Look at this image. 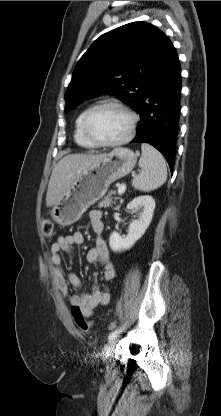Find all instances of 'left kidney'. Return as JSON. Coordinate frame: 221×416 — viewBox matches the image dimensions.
Masks as SVG:
<instances>
[{
  "instance_id": "left-kidney-1",
  "label": "left kidney",
  "mask_w": 221,
  "mask_h": 416,
  "mask_svg": "<svg viewBox=\"0 0 221 416\" xmlns=\"http://www.w3.org/2000/svg\"><path fill=\"white\" fill-rule=\"evenodd\" d=\"M127 209H141V212L138 219L130 223L128 234L125 237H121L117 232L110 235L109 245L114 252L130 249L144 235L153 217L155 201L148 195L139 196L127 205Z\"/></svg>"
}]
</instances>
